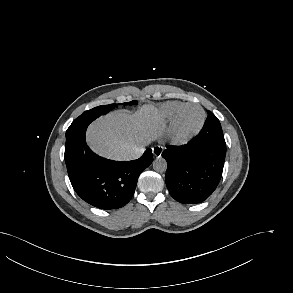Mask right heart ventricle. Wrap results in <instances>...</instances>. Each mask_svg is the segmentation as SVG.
<instances>
[{"instance_id":"obj_1","label":"right heart ventricle","mask_w":293,"mask_h":293,"mask_svg":"<svg viewBox=\"0 0 293 293\" xmlns=\"http://www.w3.org/2000/svg\"><path fill=\"white\" fill-rule=\"evenodd\" d=\"M183 103L180 102H166L160 107V114L165 119H172L177 108Z\"/></svg>"}]
</instances>
